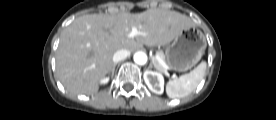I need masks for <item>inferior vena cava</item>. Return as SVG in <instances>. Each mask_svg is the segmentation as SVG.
<instances>
[{"label":"inferior vena cava","mask_w":276,"mask_h":120,"mask_svg":"<svg viewBox=\"0 0 276 120\" xmlns=\"http://www.w3.org/2000/svg\"><path fill=\"white\" fill-rule=\"evenodd\" d=\"M130 51L127 49H120L116 51L113 55V62L118 63L122 60H125L127 57H129Z\"/></svg>","instance_id":"602c4592"}]
</instances>
